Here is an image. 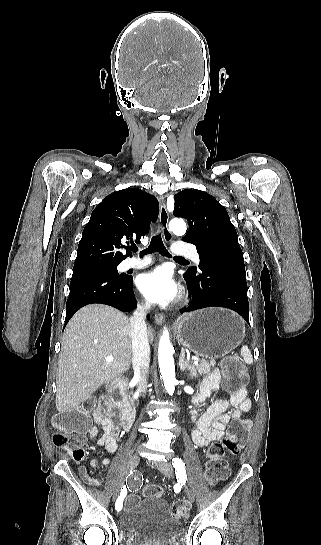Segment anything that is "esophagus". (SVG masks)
Returning <instances> with one entry per match:
<instances>
[{
	"label": "esophagus",
	"mask_w": 321,
	"mask_h": 545,
	"mask_svg": "<svg viewBox=\"0 0 321 545\" xmlns=\"http://www.w3.org/2000/svg\"><path fill=\"white\" fill-rule=\"evenodd\" d=\"M160 202V211H159V217H160V225L162 227L163 231V237L166 242H171L173 239V235L171 231L169 230L168 224H169V214L166 209L165 201L163 198L159 199ZM164 315L163 314H156L154 317V321L157 325H161L164 321Z\"/></svg>",
	"instance_id": "esophagus-1"
}]
</instances>
